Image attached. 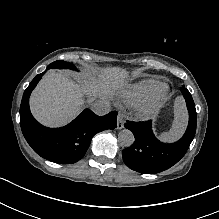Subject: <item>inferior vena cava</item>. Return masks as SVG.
<instances>
[{
    "instance_id": "obj_1",
    "label": "inferior vena cava",
    "mask_w": 219,
    "mask_h": 219,
    "mask_svg": "<svg viewBox=\"0 0 219 219\" xmlns=\"http://www.w3.org/2000/svg\"><path fill=\"white\" fill-rule=\"evenodd\" d=\"M90 103V102H89ZM91 110L98 115H104L110 111L111 105L107 98H102L95 102L90 103Z\"/></svg>"
}]
</instances>
